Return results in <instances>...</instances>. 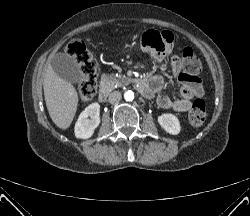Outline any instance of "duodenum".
Wrapping results in <instances>:
<instances>
[{
    "label": "duodenum",
    "instance_id": "obj_1",
    "mask_svg": "<svg viewBox=\"0 0 250 216\" xmlns=\"http://www.w3.org/2000/svg\"><path fill=\"white\" fill-rule=\"evenodd\" d=\"M136 86L139 90V92L145 96V97H150L151 96V89L147 82L144 81H138L136 82ZM110 94V88L106 84H102L99 90V100L101 102H104L107 100L108 96Z\"/></svg>",
    "mask_w": 250,
    "mask_h": 216
}]
</instances>
